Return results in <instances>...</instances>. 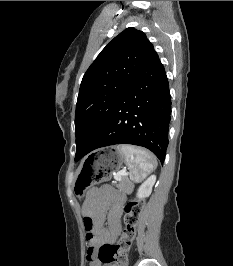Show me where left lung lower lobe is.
Instances as JSON below:
<instances>
[{
	"label": "left lung lower lobe",
	"instance_id": "0a47b994",
	"mask_svg": "<svg viewBox=\"0 0 233 266\" xmlns=\"http://www.w3.org/2000/svg\"><path fill=\"white\" fill-rule=\"evenodd\" d=\"M170 115L168 79L154 52L83 156L100 147L133 144L148 148L163 163L169 143Z\"/></svg>",
	"mask_w": 233,
	"mask_h": 266
}]
</instances>
